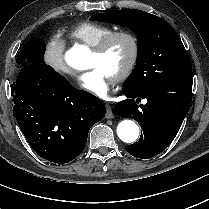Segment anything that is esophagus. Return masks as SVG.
<instances>
[{
    "label": "esophagus",
    "mask_w": 209,
    "mask_h": 209,
    "mask_svg": "<svg viewBox=\"0 0 209 209\" xmlns=\"http://www.w3.org/2000/svg\"><path fill=\"white\" fill-rule=\"evenodd\" d=\"M105 116H106V118H113L114 117L112 108L109 104H106V115Z\"/></svg>",
    "instance_id": "obj_1"
}]
</instances>
